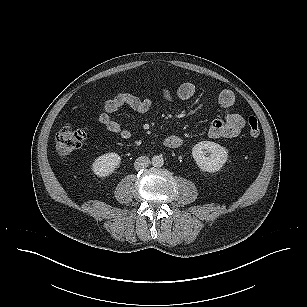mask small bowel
I'll return each mask as SVG.
<instances>
[{
  "instance_id": "c3829d8e",
  "label": "small bowel",
  "mask_w": 307,
  "mask_h": 307,
  "mask_svg": "<svg viewBox=\"0 0 307 307\" xmlns=\"http://www.w3.org/2000/svg\"><path fill=\"white\" fill-rule=\"evenodd\" d=\"M196 92V87L191 82L181 84L177 90V97L181 100L191 99ZM167 100L172 101L173 96L168 91H164ZM218 103L225 112L224 119H214L208 129V134L212 138H234L237 137L242 127L244 119L235 106V96L230 90H223L218 95ZM152 100L140 98L133 92L123 91L104 103L103 111L98 116L99 123L109 132L118 135L122 140H130L131 131L123 128L111 117V113L120 107L127 106L138 113H146L152 108ZM163 144L169 148H178L182 145V139L175 135H169L163 140Z\"/></svg>"
}]
</instances>
